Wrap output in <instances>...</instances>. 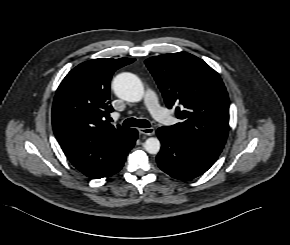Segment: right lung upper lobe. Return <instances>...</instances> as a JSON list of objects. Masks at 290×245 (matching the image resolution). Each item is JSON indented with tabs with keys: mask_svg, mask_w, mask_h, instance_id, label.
<instances>
[{
	"mask_svg": "<svg viewBox=\"0 0 290 245\" xmlns=\"http://www.w3.org/2000/svg\"><path fill=\"white\" fill-rule=\"evenodd\" d=\"M135 59H93L72 69L53 102L55 136L69 161L83 174L98 178L113 169L131 148L134 129L113 126L109 113L113 73Z\"/></svg>",
	"mask_w": 290,
	"mask_h": 245,
	"instance_id": "cb5924a9",
	"label": "right lung upper lobe"
}]
</instances>
